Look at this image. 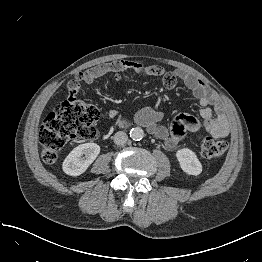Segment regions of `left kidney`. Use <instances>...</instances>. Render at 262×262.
<instances>
[{
	"label": "left kidney",
	"mask_w": 262,
	"mask_h": 262,
	"mask_svg": "<svg viewBox=\"0 0 262 262\" xmlns=\"http://www.w3.org/2000/svg\"><path fill=\"white\" fill-rule=\"evenodd\" d=\"M176 157L185 173L197 176L202 172V165L192 150L188 148L180 149L176 152Z\"/></svg>",
	"instance_id": "1"
}]
</instances>
